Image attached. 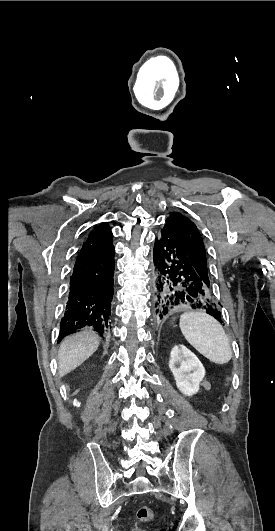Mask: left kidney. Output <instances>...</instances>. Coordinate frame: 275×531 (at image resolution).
<instances>
[{"instance_id": "obj_1", "label": "left kidney", "mask_w": 275, "mask_h": 531, "mask_svg": "<svg viewBox=\"0 0 275 531\" xmlns=\"http://www.w3.org/2000/svg\"><path fill=\"white\" fill-rule=\"evenodd\" d=\"M169 369L183 395L192 397L198 393L199 385L205 377V369L198 357L184 345L173 347L170 353Z\"/></svg>"}]
</instances>
